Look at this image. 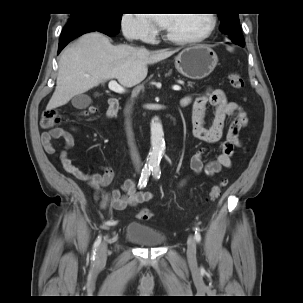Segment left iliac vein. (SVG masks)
<instances>
[{
  "mask_svg": "<svg viewBox=\"0 0 303 303\" xmlns=\"http://www.w3.org/2000/svg\"><path fill=\"white\" fill-rule=\"evenodd\" d=\"M187 257L191 264H196V240L193 236L187 241Z\"/></svg>",
  "mask_w": 303,
  "mask_h": 303,
  "instance_id": "obj_1",
  "label": "left iliac vein"
}]
</instances>
